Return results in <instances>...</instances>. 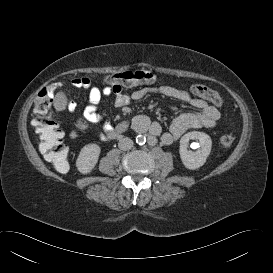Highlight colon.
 Wrapping results in <instances>:
<instances>
[{
	"label": "colon",
	"mask_w": 273,
	"mask_h": 273,
	"mask_svg": "<svg viewBox=\"0 0 273 273\" xmlns=\"http://www.w3.org/2000/svg\"><path fill=\"white\" fill-rule=\"evenodd\" d=\"M157 76L148 70H133L116 73L107 76L105 82L108 85L121 87H131L141 84H153ZM193 91L196 95L203 97L216 107H221L223 100L214 90L199 84L193 85ZM53 95L48 89H43L35 101V118L32 125L40 138V151L43 157L50 162L54 168L60 172L68 171L67 149L64 144L63 133L56 121L51 118L50 109ZM86 128L84 121H79L75 129L82 131ZM233 137L229 134L222 135L219 143L223 148H230L233 145Z\"/></svg>",
	"instance_id": "obj_1"
}]
</instances>
